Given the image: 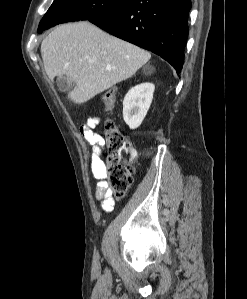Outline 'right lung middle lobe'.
Segmentation results:
<instances>
[{
  "label": "right lung middle lobe",
  "mask_w": 247,
  "mask_h": 299,
  "mask_svg": "<svg viewBox=\"0 0 247 299\" xmlns=\"http://www.w3.org/2000/svg\"><path fill=\"white\" fill-rule=\"evenodd\" d=\"M128 0H54L38 27V33L57 24L91 20L106 15Z\"/></svg>",
  "instance_id": "obj_1"
}]
</instances>
